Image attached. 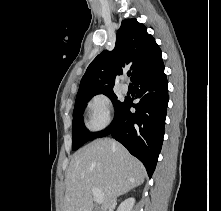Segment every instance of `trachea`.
Listing matches in <instances>:
<instances>
[{
  "label": "trachea",
  "instance_id": "3493384b",
  "mask_svg": "<svg viewBox=\"0 0 221 211\" xmlns=\"http://www.w3.org/2000/svg\"><path fill=\"white\" fill-rule=\"evenodd\" d=\"M127 75L130 76V75H131V72H128Z\"/></svg>",
  "mask_w": 221,
  "mask_h": 211
}]
</instances>
